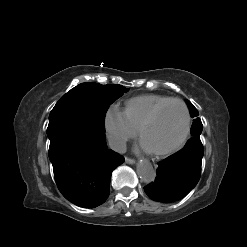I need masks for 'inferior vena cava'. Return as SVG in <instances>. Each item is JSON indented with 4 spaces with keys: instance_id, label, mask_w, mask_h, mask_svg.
<instances>
[{
    "instance_id": "obj_1",
    "label": "inferior vena cava",
    "mask_w": 247,
    "mask_h": 247,
    "mask_svg": "<svg viewBox=\"0 0 247 247\" xmlns=\"http://www.w3.org/2000/svg\"><path fill=\"white\" fill-rule=\"evenodd\" d=\"M110 149L114 150L118 153H125L126 152V143L120 139L117 138H110L108 140Z\"/></svg>"
}]
</instances>
